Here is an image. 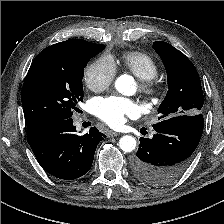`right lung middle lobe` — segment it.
<instances>
[{"label": "right lung middle lobe", "mask_w": 224, "mask_h": 224, "mask_svg": "<svg viewBox=\"0 0 224 224\" xmlns=\"http://www.w3.org/2000/svg\"><path fill=\"white\" fill-rule=\"evenodd\" d=\"M104 45L71 52L42 51L33 60L22 89L26 125L46 118H71L83 100L84 68Z\"/></svg>", "instance_id": "1"}]
</instances>
